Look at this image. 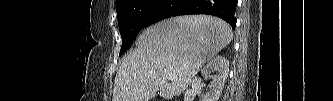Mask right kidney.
<instances>
[{
    "label": "right kidney",
    "mask_w": 333,
    "mask_h": 101,
    "mask_svg": "<svg viewBox=\"0 0 333 101\" xmlns=\"http://www.w3.org/2000/svg\"><path fill=\"white\" fill-rule=\"evenodd\" d=\"M212 72H216V75H211ZM228 72L229 61L221 55L215 56L204 66L201 70L204 80L212 79L209 86L210 90L206 93L204 101H218L228 77ZM191 86L192 89L185 92L184 101H193L194 97L201 92L203 82L201 79L195 78Z\"/></svg>",
    "instance_id": "1"
}]
</instances>
